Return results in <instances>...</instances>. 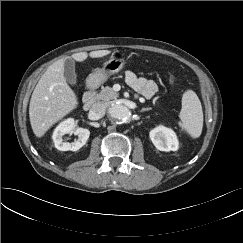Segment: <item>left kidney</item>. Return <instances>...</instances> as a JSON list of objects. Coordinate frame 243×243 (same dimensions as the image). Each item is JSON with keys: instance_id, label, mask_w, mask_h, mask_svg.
Returning <instances> with one entry per match:
<instances>
[{"instance_id": "5707ae66", "label": "left kidney", "mask_w": 243, "mask_h": 243, "mask_svg": "<svg viewBox=\"0 0 243 243\" xmlns=\"http://www.w3.org/2000/svg\"><path fill=\"white\" fill-rule=\"evenodd\" d=\"M150 139L160 151H176L178 149L177 136L173 130L158 126L150 131Z\"/></svg>"}]
</instances>
